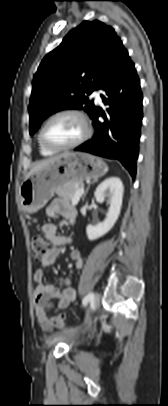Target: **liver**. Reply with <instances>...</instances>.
I'll return each mask as SVG.
<instances>
[{"mask_svg": "<svg viewBox=\"0 0 168 406\" xmlns=\"http://www.w3.org/2000/svg\"><path fill=\"white\" fill-rule=\"evenodd\" d=\"M64 156H65V154H61V155L51 157V158H48V159H45V160H42V161L36 163L30 170V172L28 173L27 177L31 176L32 174H34L40 170L49 168L50 166L54 165Z\"/></svg>", "mask_w": 168, "mask_h": 406, "instance_id": "liver-1", "label": "liver"}]
</instances>
